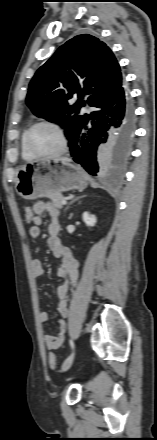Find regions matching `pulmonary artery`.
Listing matches in <instances>:
<instances>
[{
  "label": "pulmonary artery",
  "mask_w": 157,
  "mask_h": 440,
  "mask_svg": "<svg viewBox=\"0 0 157 440\" xmlns=\"http://www.w3.org/2000/svg\"><path fill=\"white\" fill-rule=\"evenodd\" d=\"M89 110H88V108L87 107H84L83 109H82V112H88Z\"/></svg>",
  "instance_id": "1"
}]
</instances>
